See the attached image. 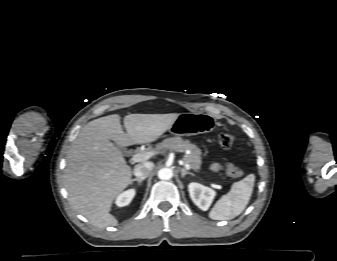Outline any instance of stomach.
<instances>
[{
	"label": "stomach",
	"mask_w": 337,
	"mask_h": 261,
	"mask_svg": "<svg viewBox=\"0 0 337 261\" xmlns=\"http://www.w3.org/2000/svg\"><path fill=\"white\" fill-rule=\"evenodd\" d=\"M215 128L214 118L207 113H181L169 132L176 136H193L209 133Z\"/></svg>",
	"instance_id": "0dacf381"
}]
</instances>
